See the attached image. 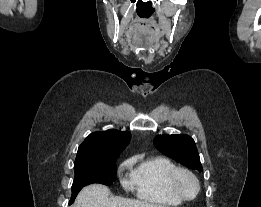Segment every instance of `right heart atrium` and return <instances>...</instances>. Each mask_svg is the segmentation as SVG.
<instances>
[{
  "label": "right heart atrium",
  "instance_id": "right-heart-atrium-1",
  "mask_svg": "<svg viewBox=\"0 0 261 207\" xmlns=\"http://www.w3.org/2000/svg\"><path fill=\"white\" fill-rule=\"evenodd\" d=\"M127 166V163L123 165V167ZM122 184L126 189H130L134 185L133 178L122 179Z\"/></svg>",
  "mask_w": 261,
  "mask_h": 207
}]
</instances>
